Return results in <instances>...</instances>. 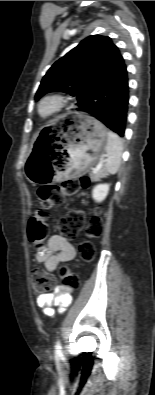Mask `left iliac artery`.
Instances as JSON below:
<instances>
[{
	"label": "left iliac artery",
	"instance_id": "obj_1",
	"mask_svg": "<svg viewBox=\"0 0 155 395\" xmlns=\"http://www.w3.org/2000/svg\"><path fill=\"white\" fill-rule=\"evenodd\" d=\"M55 355H56V357L62 356L61 342L59 340L56 342V345H55Z\"/></svg>",
	"mask_w": 155,
	"mask_h": 395
}]
</instances>
